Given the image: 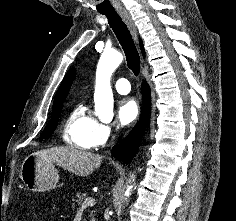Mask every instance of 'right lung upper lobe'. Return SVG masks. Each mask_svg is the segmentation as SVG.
Masks as SVG:
<instances>
[{
    "mask_svg": "<svg viewBox=\"0 0 236 221\" xmlns=\"http://www.w3.org/2000/svg\"><path fill=\"white\" fill-rule=\"evenodd\" d=\"M140 47H141L142 53L144 55V49H143V44H142L141 40H140ZM75 72H76L75 68H72L65 75V77H64V79H63V81H62V83L55 95L53 106L63 104V102L69 92V89L71 87V84L73 82V79L75 77Z\"/></svg>",
    "mask_w": 236,
    "mask_h": 221,
    "instance_id": "1",
    "label": "right lung upper lobe"
}]
</instances>
